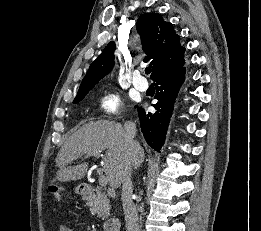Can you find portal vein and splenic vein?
I'll return each instance as SVG.
<instances>
[{
    "label": "portal vein and splenic vein",
    "mask_w": 261,
    "mask_h": 231,
    "mask_svg": "<svg viewBox=\"0 0 261 231\" xmlns=\"http://www.w3.org/2000/svg\"><path fill=\"white\" fill-rule=\"evenodd\" d=\"M91 155H93V156H95V157H100V156H102L101 151H95V152H92V153H88V154H87V156H91ZM98 181H99L100 186H102V187L107 186L108 180H107V178L105 177V175L99 174V179H98Z\"/></svg>",
    "instance_id": "18ae733b"
}]
</instances>
